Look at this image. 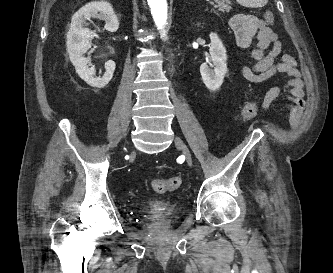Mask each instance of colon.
Here are the masks:
<instances>
[{
	"label": "colon",
	"mask_w": 333,
	"mask_h": 273,
	"mask_svg": "<svg viewBox=\"0 0 333 273\" xmlns=\"http://www.w3.org/2000/svg\"><path fill=\"white\" fill-rule=\"evenodd\" d=\"M264 19L267 23L271 24L274 21V15L271 11H267L264 14ZM260 109L258 102L250 101L245 102L241 106V115L244 119L249 120L256 116ZM181 178L173 176L169 179L158 178L152 183L153 190L158 194H164L177 190L181 185Z\"/></svg>",
	"instance_id": "obj_1"
}]
</instances>
